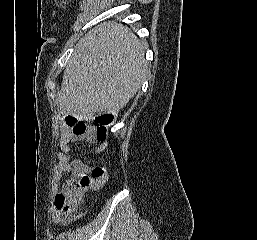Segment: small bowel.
<instances>
[{"label": "small bowel", "instance_id": "obj_1", "mask_svg": "<svg viewBox=\"0 0 257 240\" xmlns=\"http://www.w3.org/2000/svg\"><path fill=\"white\" fill-rule=\"evenodd\" d=\"M82 140L90 144L98 143L93 154L103 152L108 146L106 141L97 139L93 129H88L82 135H76L68 128H64L59 142L58 162L53 171V187L58 194H66L74 190L79 178L90 171V167L86 163L72 155L73 145ZM51 214L55 224H64L65 216L56 204L52 207Z\"/></svg>", "mask_w": 257, "mask_h": 240}]
</instances>
